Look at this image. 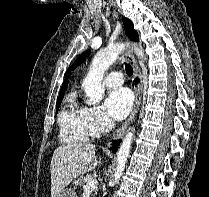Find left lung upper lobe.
Wrapping results in <instances>:
<instances>
[{
	"label": "left lung upper lobe",
	"mask_w": 209,
	"mask_h": 197,
	"mask_svg": "<svg viewBox=\"0 0 209 197\" xmlns=\"http://www.w3.org/2000/svg\"><path fill=\"white\" fill-rule=\"evenodd\" d=\"M123 24H124V28H125V33L126 35L131 39V40H134V41H138L139 40V36H138V33L136 30H134V27H133V23L127 19V18H124L123 19ZM89 55V52H85L83 53L80 57H78L76 59V61L74 62V64L67 70L66 72V75L68 74V72L70 70H73L75 69L78 65H80L85 59L86 57Z\"/></svg>",
	"instance_id": "1"
}]
</instances>
